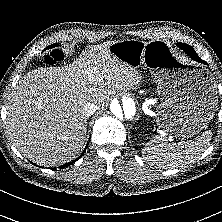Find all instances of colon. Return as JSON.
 <instances>
[{
    "instance_id": "obj_1",
    "label": "colon",
    "mask_w": 222,
    "mask_h": 222,
    "mask_svg": "<svg viewBox=\"0 0 222 222\" xmlns=\"http://www.w3.org/2000/svg\"><path fill=\"white\" fill-rule=\"evenodd\" d=\"M64 58L63 54L59 51H52L45 57V62L49 65H54L60 61H62Z\"/></svg>"
}]
</instances>
